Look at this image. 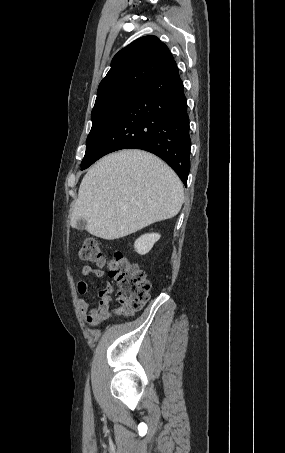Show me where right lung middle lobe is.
<instances>
[{
  "instance_id": "obj_1",
  "label": "right lung middle lobe",
  "mask_w": 285,
  "mask_h": 453,
  "mask_svg": "<svg viewBox=\"0 0 285 453\" xmlns=\"http://www.w3.org/2000/svg\"><path fill=\"white\" fill-rule=\"evenodd\" d=\"M136 92L124 93L94 106L91 112L92 128L87 137V147L81 170L88 168L93 163L99 148Z\"/></svg>"
}]
</instances>
